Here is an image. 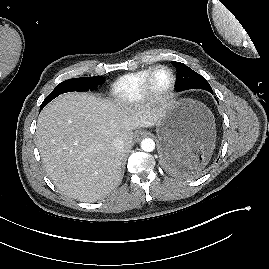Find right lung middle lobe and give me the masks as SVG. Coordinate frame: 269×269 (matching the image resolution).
<instances>
[{"mask_svg":"<svg viewBox=\"0 0 269 269\" xmlns=\"http://www.w3.org/2000/svg\"><path fill=\"white\" fill-rule=\"evenodd\" d=\"M105 82V79L101 76L94 77H82V78H73L61 82L55 87V89L46 97L41 105V109L52 101L54 98L60 94L70 92V91H89L95 90L98 85H101Z\"/></svg>","mask_w":269,"mask_h":269,"instance_id":"1","label":"right lung middle lobe"}]
</instances>
